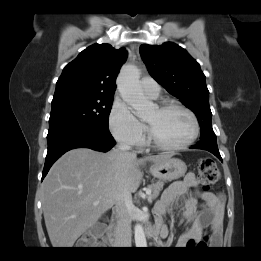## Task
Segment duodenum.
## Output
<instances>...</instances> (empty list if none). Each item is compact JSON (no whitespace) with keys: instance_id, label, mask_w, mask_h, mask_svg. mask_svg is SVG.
I'll return each instance as SVG.
<instances>
[{"instance_id":"obj_1","label":"duodenum","mask_w":261,"mask_h":261,"mask_svg":"<svg viewBox=\"0 0 261 261\" xmlns=\"http://www.w3.org/2000/svg\"><path fill=\"white\" fill-rule=\"evenodd\" d=\"M96 232H101V236L104 235V244L109 246H119L117 243L120 240L118 236L117 230L115 226H111L110 230L107 233H104L101 230H97ZM164 228L152 227L147 230V236L154 238L159 235V233H163Z\"/></svg>"}]
</instances>
